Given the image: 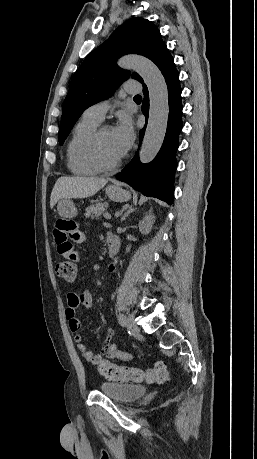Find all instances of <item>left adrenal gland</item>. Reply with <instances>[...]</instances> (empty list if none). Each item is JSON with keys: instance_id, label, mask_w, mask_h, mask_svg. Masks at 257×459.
<instances>
[{"instance_id": "1", "label": "left adrenal gland", "mask_w": 257, "mask_h": 459, "mask_svg": "<svg viewBox=\"0 0 257 459\" xmlns=\"http://www.w3.org/2000/svg\"><path fill=\"white\" fill-rule=\"evenodd\" d=\"M135 211V208L132 207V205H125L123 206L122 210H121V213L122 214V217H121V222L124 221L126 219V217L129 216L130 213L134 212Z\"/></svg>"}]
</instances>
